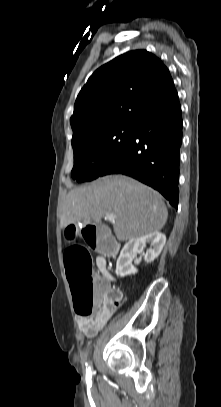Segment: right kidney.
<instances>
[{"label":"right kidney","mask_w":221,"mask_h":407,"mask_svg":"<svg viewBox=\"0 0 221 407\" xmlns=\"http://www.w3.org/2000/svg\"><path fill=\"white\" fill-rule=\"evenodd\" d=\"M166 242L165 234L153 232L148 235L129 240L121 250L116 263V275L124 277L137 273V268L132 265V260L136 253L142 252L146 243H150L151 248L144 254V260L147 263L153 262L161 253Z\"/></svg>","instance_id":"ca27d5eb"}]
</instances>
